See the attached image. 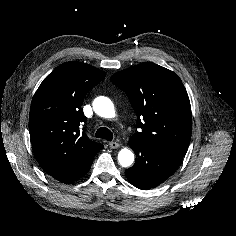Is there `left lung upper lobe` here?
I'll use <instances>...</instances> for the list:
<instances>
[{
	"instance_id": "5c2ea615",
	"label": "left lung upper lobe",
	"mask_w": 236,
	"mask_h": 236,
	"mask_svg": "<svg viewBox=\"0 0 236 236\" xmlns=\"http://www.w3.org/2000/svg\"><path fill=\"white\" fill-rule=\"evenodd\" d=\"M111 82L128 96L140 128L129 141L185 155L191 139V106L176 73L144 62L115 73Z\"/></svg>"
}]
</instances>
